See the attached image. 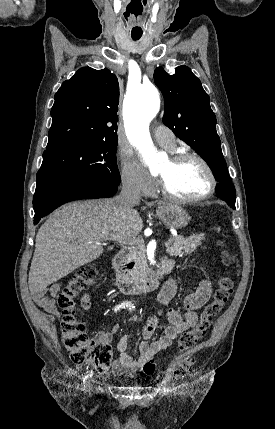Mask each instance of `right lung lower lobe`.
<instances>
[{
  "mask_svg": "<svg viewBox=\"0 0 275 429\" xmlns=\"http://www.w3.org/2000/svg\"><path fill=\"white\" fill-rule=\"evenodd\" d=\"M118 184L99 179H71L36 191L33 198L34 224L60 205L79 199L105 198L115 195Z\"/></svg>",
  "mask_w": 275,
  "mask_h": 429,
  "instance_id": "obj_1",
  "label": "right lung lower lobe"
}]
</instances>
